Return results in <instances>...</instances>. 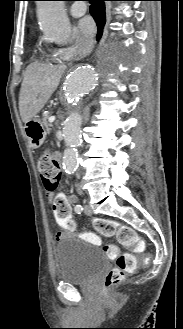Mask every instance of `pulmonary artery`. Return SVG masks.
Returning <instances> with one entry per match:
<instances>
[{
    "label": "pulmonary artery",
    "instance_id": "pulmonary-artery-1",
    "mask_svg": "<svg viewBox=\"0 0 183 329\" xmlns=\"http://www.w3.org/2000/svg\"><path fill=\"white\" fill-rule=\"evenodd\" d=\"M86 11L87 6L82 2H75L70 8V13L74 17L82 16L83 14H85Z\"/></svg>",
    "mask_w": 183,
    "mask_h": 329
}]
</instances>
